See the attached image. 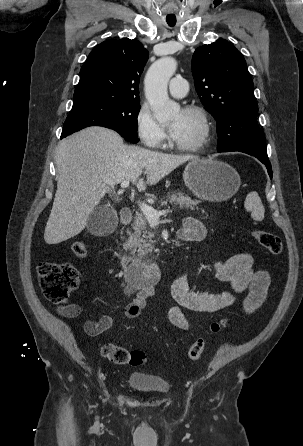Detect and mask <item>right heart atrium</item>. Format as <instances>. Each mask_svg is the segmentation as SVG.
<instances>
[{"instance_id": "d8ad5b80", "label": "right heart atrium", "mask_w": 303, "mask_h": 446, "mask_svg": "<svg viewBox=\"0 0 303 446\" xmlns=\"http://www.w3.org/2000/svg\"><path fill=\"white\" fill-rule=\"evenodd\" d=\"M136 132L141 142L149 148L164 145L167 135L165 129L154 118L150 109L142 105L135 118Z\"/></svg>"}]
</instances>
